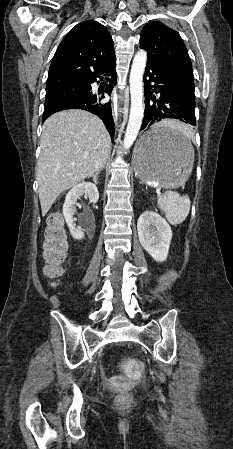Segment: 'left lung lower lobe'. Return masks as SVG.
Returning a JSON list of instances; mask_svg holds the SVG:
<instances>
[{
	"instance_id": "obj_1",
	"label": "left lung lower lobe",
	"mask_w": 233,
	"mask_h": 449,
	"mask_svg": "<svg viewBox=\"0 0 233 449\" xmlns=\"http://www.w3.org/2000/svg\"><path fill=\"white\" fill-rule=\"evenodd\" d=\"M145 116L141 130L165 118L195 125L194 86L165 68L147 60L144 74ZM156 94H158L156 96ZM181 137L174 133H154L146 137L143 149L177 145Z\"/></svg>"
}]
</instances>
